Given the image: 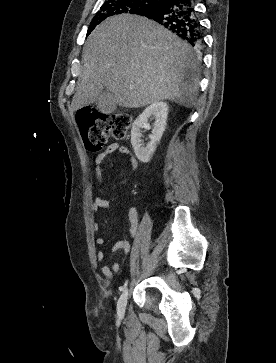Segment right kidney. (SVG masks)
Masks as SVG:
<instances>
[{
    "label": "right kidney",
    "instance_id": "1",
    "mask_svg": "<svg viewBox=\"0 0 276 363\" xmlns=\"http://www.w3.org/2000/svg\"><path fill=\"white\" fill-rule=\"evenodd\" d=\"M168 115V106L164 102H155L149 105L134 121L131 129V144L138 160L148 163L152 158L163 132L165 131ZM155 118L150 142L144 147L141 143V128L147 124L148 118Z\"/></svg>",
    "mask_w": 276,
    "mask_h": 363
}]
</instances>
